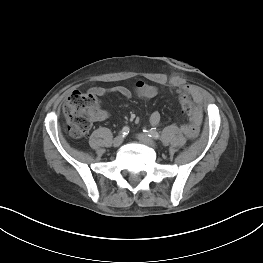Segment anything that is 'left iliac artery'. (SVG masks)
I'll list each match as a JSON object with an SVG mask.
<instances>
[{
  "label": "left iliac artery",
  "instance_id": "left-iliac-artery-1",
  "mask_svg": "<svg viewBox=\"0 0 263 263\" xmlns=\"http://www.w3.org/2000/svg\"><path fill=\"white\" fill-rule=\"evenodd\" d=\"M147 133H148V136L149 137H152V138H154V139H159L160 138V135H159V133L155 130V129H153V128H151L150 130H148V131H146Z\"/></svg>",
  "mask_w": 263,
  "mask_h": 263
}]
</instances>
